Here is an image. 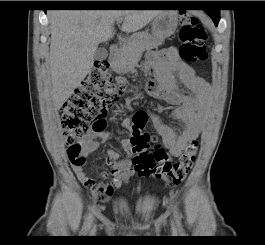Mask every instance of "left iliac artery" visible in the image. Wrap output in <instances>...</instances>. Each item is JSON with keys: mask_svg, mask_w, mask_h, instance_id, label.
<instances>
[{"mask_svg": "<svg viewBox=\"0 0 265 245\" xmlns=\"http://www.w3.org/2000/svg\"><path fill=\"white\" fill-rule=\"evenodd\" d=\"M173 214H174L176 224L179 228V231H182L181 216H180V212L176 206L173 207Z\"/></svg>", "mask_w": 265, "mask_h": 245, "instance_id": "44dca946", "label": "left iliac artery"}]
</instances>
